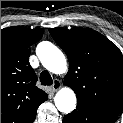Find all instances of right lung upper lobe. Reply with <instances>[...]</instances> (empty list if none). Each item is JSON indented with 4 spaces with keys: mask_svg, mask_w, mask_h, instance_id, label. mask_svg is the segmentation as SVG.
I'll return each mask as SVG.
<instances>
[{
    "mask_svg": "<svg viewBox=\"0 0 123 123\" xmlns=\"http://www.w3.org/2000/svg\"><path fill=\"white\" fill-rule=\"evenodd\" d=\"M42 35L43 29L20 26L1 30V123H33L38 106L48 99L29 64L30 46Z\"/></svg>",
    "mask_w": 123,
    "mask_h": 123,
    "instance_id": "right-lung-upper-lobe-1",
    "label": "right lung upper lobe"
}]
</instances>
